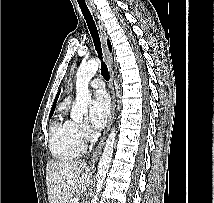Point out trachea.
Masks as SVG:
<instances>
[{
    "label": "trachea",
    "mask_w": 214,
    "mask_h": 203,
    "mask_svg": "<svg viewBox=\"0 0 214 203\" xmlns=\"http://www.w3.org/2000/svg\"><path fill=\"white\" fill-rule=\"evenodd\" d=\"M79 6H80L82 14L86 20L90 34L92 36L95 49H96L100 59L102 60L103 57H102L101 42H100L99 33L97 30L95 21L93 20V17H92V15H91V13H90V11H89V9L85 3H79ZM101 74L106 81H109L110 76H109L108 68H107L105 62H103V61L101 62Z\"/></svg>",
    "instance_id": "1"
}]
</instances>
